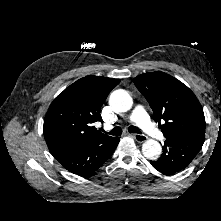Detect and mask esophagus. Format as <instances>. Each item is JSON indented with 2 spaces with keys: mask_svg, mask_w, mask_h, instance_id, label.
I'll use <instances>...</instances> for the list:
<instances>
[{
  "mask_svg": "<svg viewBox=\"0 0 221 221\" xmlns=\"http://www.w3.org/2000/svg\"><path fill=\"white\" fill-rule=\"evenodd\" d=\"M138 143H143L147 140V137L145 135L141 134H130Z\"/></svg>",
  "mask_w": 221,
  "mask_h": 221,
  "instance_id": "esophagus-1",
  "label": "esophagus"
}]
</instances>
